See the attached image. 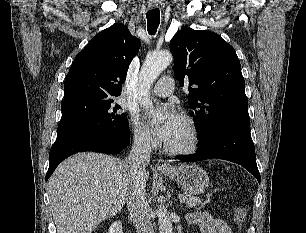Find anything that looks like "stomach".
Segmentation results:
<instances>
[{
    "mask_svg": "<svg viewBox=\"0 0 306 233\" xmlns=\"http://www.w3.org/2000/svg\"><path fill=\"white\" fill-rule=\"evenodd\" d=\"M161 173L175 180L187 194H202L209 185L207 172L195 163L171 167L168 170H161Z\"/></svg>",
    "mask_w": 306,
    "mask_h": 233,
    "instance_id": "0dacf381",
    "label": "stomach"
}]
</instances>
